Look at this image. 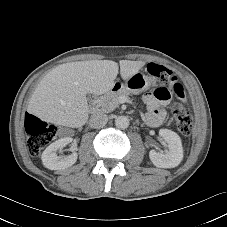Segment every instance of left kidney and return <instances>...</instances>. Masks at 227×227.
Segmentation results:
<instances>
[{
  "label": "left kidney",
  "instance_id": "left-kidney-1",
  "mask_svg": "<svg viewBox=\"0 0 227 227\" xmlns=\"http://www.w3.org/2000/svg\"><path fill=\"white\" fill-rule=\"evenodd\" d=\"M159 135L168 143L169 150L161 153L151 150L150 160L156 167H177L183 159V147L179 135L168 129H160Z\"/></svg>",
  "mask_w": 227,
  "mask_h": 227
}]
</instances>
